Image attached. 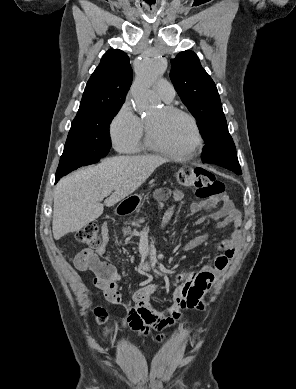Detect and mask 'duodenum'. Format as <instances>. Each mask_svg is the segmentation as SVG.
Here are the masks:
<instances>
[{
  "mask_svg": "<svg viewBox=\"0 0 296 389\" xmlns=\"http://www.w3.org/2000/svg\"><path fill=\"white\" fill-rule=\"evenodd\" d=\"M136 207V203L134 202H127L124 203L121 208H120V213L122 214H127L132 212ZM151 261L150 260H145L139 264V267L142 271H148L151 268Z\"/></svg>",
  "mask_w": 296,
  "mask_h": 389,
  "instance_id": "duodenum-1",
  "label": "duodenum"
}]
</instances>
